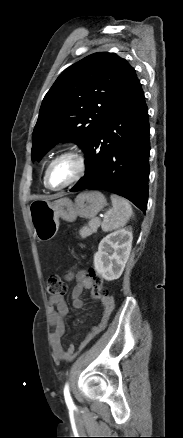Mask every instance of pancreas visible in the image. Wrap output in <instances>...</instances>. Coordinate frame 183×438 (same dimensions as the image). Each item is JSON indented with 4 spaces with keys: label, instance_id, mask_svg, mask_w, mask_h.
I'll use <instances>...</instances> for the list:
<instances>
[{
    "label": "pancreas",
    "instance_id": "1",
    "mask_svg": "<svg viewBox=\"0 0 183 438\" xmlns=\"http://www.w3.org/2000/svg\"><path fill=\"white\" fill-rule=\"evenodd\" d=\"M100 226V220L99 218H92L88 222V226H84L80 229L79 233L82 238H86L93 233L97 232L98 227Z\"/></svg>",
    "mask_w": 183,
    "mask_h": 438
}]
</instances>
